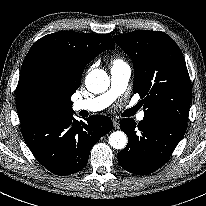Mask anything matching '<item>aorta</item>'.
Masks as SVG:
<instances>
[{"label":"aorta","mask_w":206,"mask_h":206,"mask_svg":"<svg viewBox=\"0 0 206 206\" xmlns=\"http://www.w3.org/2000/svg\"><path fill=\"white\" fill-rule=\"evenodd\" d=\"M85 84L92 93L106 91L110 84L108 74L102 69H94L86 76ZM109 144L114 149H124L127 145V136L122 131H115L109 136Z\"/></svg>","instance_id":"762f6f07"}]
</instances>
